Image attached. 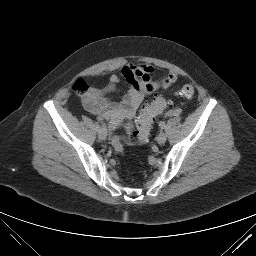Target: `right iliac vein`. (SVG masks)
I'll list each match as a JSON object with an SVG mask.
<instances>
[{
	"label": "right iliac vein",
	"instance_id": "63e3f726",
	"mask_svg": "<svg viewBox=\"0 0 256 256\" xmlns=\"http://www.w3.org/2000/svg\"><path fill=\"white\" fill-rule=\"evenodd\" d=\"M98 137L100 140H106L107 138V133L105 130H100L98 131Z\"/></svg>",
	"mask_w": 256,
	"mask_h": 256
}]
</instances>
